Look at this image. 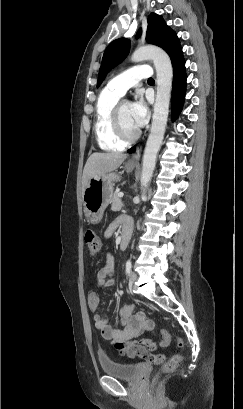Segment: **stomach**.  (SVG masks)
Returning a JSON list of instances; mask_svg holds the SVG:
<instances>
[{
  "label": "stomach",
  "mask_w": 243,
  "mask_h": 409,
  "mask_svg": "<svg viewBox=\"0 0 243 409\" xmlns=\"http://www.w3.org/2000/svg\"><path fill=\"white\" fill-rule=\"evenodd\" d=\"M134 168L135 164L130 162L124 166L128 173ZM119 180L120 176L116 172L91 178L82 194L85 215L90 223L97 224L101 221L104 210L112 202L114 182Z\"/></svg>",
  "instance_id": "0dacf381"
}]
</instances>
